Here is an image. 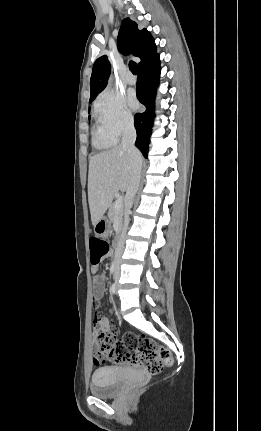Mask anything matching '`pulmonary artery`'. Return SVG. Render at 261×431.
<instances>
[{
	"mask_svg": "<svg viewBox=\"0 0 261 431\" xmlns=\"http://www.w3.org/2000/svg\"><path fill=\"white\" fill-rule=\"evenodd\" d=\"M125 81L129 85H134L136 83V78L130 72L126 75Z\"/></svg>",
	"mask_w": 261,
	"mask_h": 431,
	"instance_id": "pulmonary-artery-1",
	"label": "pulmonary artery"
}]
</instances>
